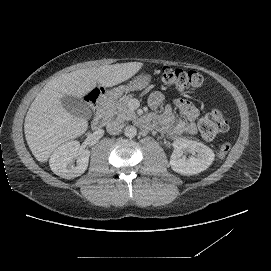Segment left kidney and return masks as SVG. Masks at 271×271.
Here are the masks:
<instances>
[{
	"label": "left kidney",
	"instance_id": "5707ae66",
	"mask_svg": "<svg viewBox=\"0 0 271 271\" xmlns=\"http://www.w3.org/2000/svg\"><path fill=\"white\" fill-rule=\"evenodd\" d=\"M173 152L170 156V165L176 172L186 176L194 175L207 169L214 160L213 151L205 144L187 138L176 139L172 143ZM190 152V157L184 155Z\"/></svg>",
	"mask_w": 271,
	"mask_h": 271
}]
</instances>
